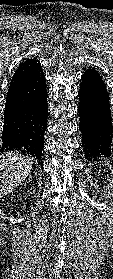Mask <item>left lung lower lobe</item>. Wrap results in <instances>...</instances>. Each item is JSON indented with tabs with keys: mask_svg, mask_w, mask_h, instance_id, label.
I'll use <instances>...</instances> for the list:
<instances>
[{
	"mask_svg": "<svg viewBox=\"0 0 113 279\" xmlns=\"http://www.w3.org/2000/svg\"><path fill=\"white\" fill-rule=\"evenodd\" d=\"M81 79L78 113L85 158L110 156L113 128L106 85L94 68L87 69Z\"/></svg>",
	"mask_w": 113,
	"mask_h": 279,
	"instance_id": "obj_1",
	"label": "left lung lower lobe"
}]
</instances>
